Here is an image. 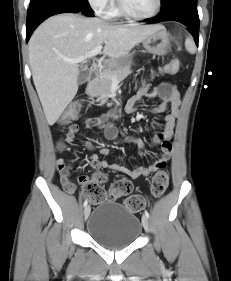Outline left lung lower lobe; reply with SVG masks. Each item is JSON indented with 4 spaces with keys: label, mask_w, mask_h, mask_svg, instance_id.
Segmentation results:
<instances>
[{
    "label": "left lung lower lobe",
    "mask_w": 231,
    "mask_h": 281,
    "mask_svg": "<svg viewBox=\"0 0 231 281\" xmlns=\"http://www.w3.org/2000/svg\"><path fill=\"white\" fill-rule=\"evenodd\" d=\"M162 21H177L189 28V32L194 36L198 45L199 40V16L197 11V0H169L162 4L161 12L158 16L143 20L148 23H158Z\"/></svg>",
    "instance_id": "1"
}]
</instances>
